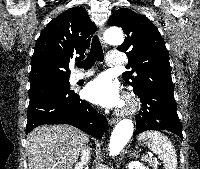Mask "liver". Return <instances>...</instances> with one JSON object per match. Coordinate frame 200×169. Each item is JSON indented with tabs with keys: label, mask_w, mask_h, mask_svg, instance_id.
<instances>
[{
	"label": "liver",
	"mask_w": 200,
	"mask_h": 169,
	"mask_svg": "<svg viewBox=\"0 0 200 169\" xmlns=\"http://www.w3.org/2000/svg\"><path fill=\"white\" fill-rule=\"evenodd\" d=\"M88 141V136L73 126H39L27 136L28 167L72 169Z\"/></svg>",
	"instance_id": "6515ba94"
}]
</instances>
